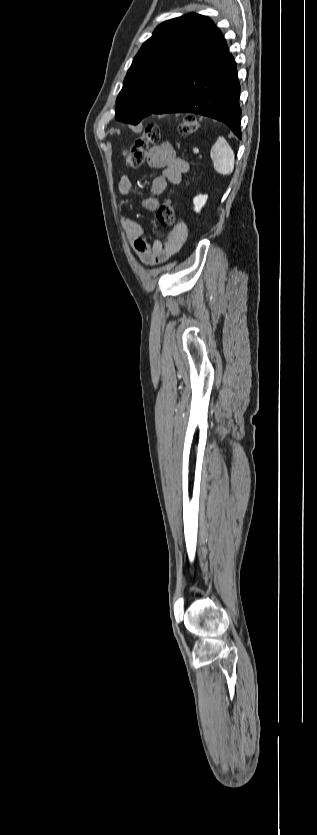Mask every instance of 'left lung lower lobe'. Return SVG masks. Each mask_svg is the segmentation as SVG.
Returning a JSON list of instances; mask_svg holds the SVG:
<instances>
[{
    "mask_svg": "<svg viewBox=\"0 0 317 835\" xmlns=\"http://www.w3.org/2000/svg\"><path fill=\"white\" fill-rule=\"evenodd\" d=\"M240 90L236 63L221 31L217 30L187 67L170 98L152 114H200L225 123L241 138Z\"/></svg>",
    "mask_w": 317,
    "mask_h": 835,
    "instance_id": "obj_1",
    "label": "left lung lower lobe"
}]
</instances>
